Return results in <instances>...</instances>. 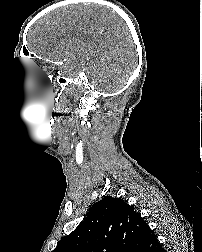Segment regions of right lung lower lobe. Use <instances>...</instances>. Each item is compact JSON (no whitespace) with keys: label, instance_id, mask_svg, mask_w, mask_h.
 <instances>
[{"label":"right lung lower lobe","instance_id":"obj_1","mask_svg":"<svg viewBox=\"0 0 202 252\" xmlns=\"http://www.w3.org/2000/svg\"><path fill=\"white\" fill-rule=\"evenodd\" d=\"M156 252H165V251L163 250L162 246L160 245V246L157 248Z\"/></svg>","mask_w":202,"mask_h":252}]
</instances>
